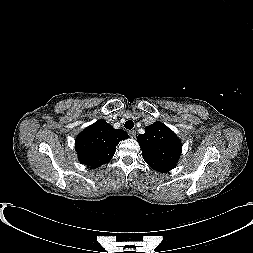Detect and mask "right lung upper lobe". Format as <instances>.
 <instances>
[{"instance_id": "1", "label": "right lung upper lobe", "mask_w": 253, "mask_h": 253, "mask_svg": "<svg viewBox=\"0 0 253 253\" xmlns=\"http://www.w3.org/2000/svg\"><path fill=\"white\" fill-rule=\"evenodd\" d=\"M127 138L124 130L114 129L100 119L77 136L75 147L79 161L89 168H98L112 159L118 143Z\"/></svg>"}]
</instances>
